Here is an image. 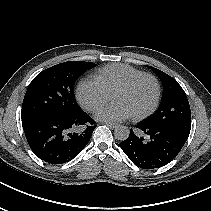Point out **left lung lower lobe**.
<instances>
[{"instance_id": "1", "label": "left lung lower lobe", "mask_w": 211, "mask_h": 211, "mask_svg": "<svg viewBox=\"0 0 211 211\" xmlns=\"http://www.w3.org/2000/svg\"><path fill=\"white\" fill-rule=\"evenodd\" d=\"M139 136L130 130L129 137L120 143V147L129 159L143 169H155L171 162L180 152L188 137L177 131L144 122L137 124Z\"/></svg>"}]
</instances>
